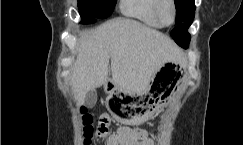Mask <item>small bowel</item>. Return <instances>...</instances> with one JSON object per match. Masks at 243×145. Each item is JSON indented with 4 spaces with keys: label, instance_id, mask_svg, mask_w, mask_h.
<instances>
[{
    "label": "small bowel",
    "instance_id": "c3829d8e",
    "mask_svg": "<svg viewBox=\"0 0 243 145\" xmlns=\"http://www.w3.org/2000/svg\"><path fill=\"white\" fill-rule=\"evenodd\" d=\"M106 145H154L148 137L145 129L133 130L128 127H120L111 134L106 141Z\"/></svg>",
    "mask_w": 243,
    "mask_h": 145
}]
</instances>
